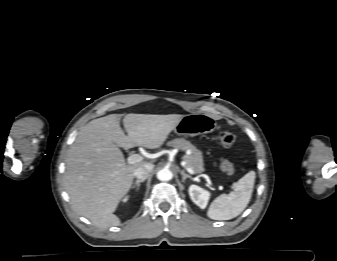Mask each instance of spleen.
Segmentation results:
<instances>
[{
    "instance_id": "3e777b00",
    "label": "spleen",
    "mask_w": 337,
    "mask_h": 261,
    "mask_svg": "<svg viewBox=\"0 0 337 261\" xmlns=\"http://www.w3.org/2000/svg\"><path fill=\"white\" fill-rule=\"evenodd\" d=\"M256 173L249 171L233 186V192L221 194L213 200L207 211L213 220H230L243 212L250 202Z\"/></svg>"
}]
</instances>
